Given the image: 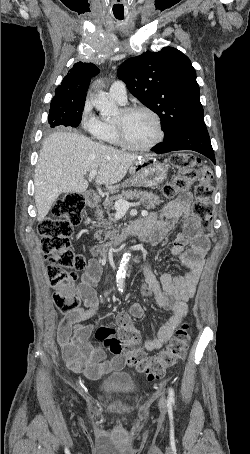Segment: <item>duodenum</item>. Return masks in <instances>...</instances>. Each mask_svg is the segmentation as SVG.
<instances>
[{
    "mask_svg": "<svg viewBox=\"0 0 250 454\" xmlns=\"http://www.w3.org/2000/svg\"><path fill=\"white\" fill-rule=\"evenodd\" d=\"M96 201H97V198L95 195H93V194L86 195L85 203L88 207H94L96 204ZM136 223H134L133 225L128 227L125 231H123L122 234L116 240H114L111 245L97 246L95 248L96 255L99 256L100 258H105L110 247L118 246L121 242L128 239L130 236L138 235L139 229L135 226Z\"/></svg>",
    "mask_w": 250,
    "mask_h": 454,
    "instance_id": "410a0bca",
    "label": "duodenum"
}]
</instances>
